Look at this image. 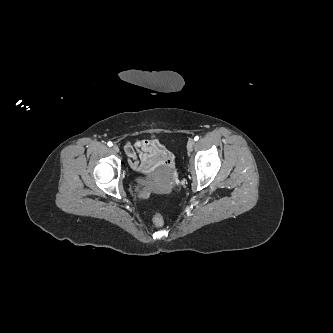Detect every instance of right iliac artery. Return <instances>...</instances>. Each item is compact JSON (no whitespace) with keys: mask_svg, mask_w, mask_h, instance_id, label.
Segmentation results:
<instances>
[{"mask_svg":"<svg viewBox=\"0 0 333 333\" xmlns=\"http://www.w3.org/2000/svg\"><path fill=\"white\" fill-rule=\"evenodd\" d=\"M113 144L112 142H108V146L111 147Z\"/></svg>","mask_w":333,"mask_h":333,"instance_id":"obj_1","label":"right iliac artery"}]
</instances>
